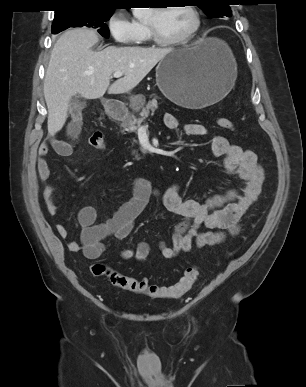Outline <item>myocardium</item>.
<instances>
[{
	"label": "myocardium",
	"instance_id": "myocardium-1",
	"mask_svg": "<svg viewBox=\"0 0 306 387\" xmlns=\"http://www.w3.org/2000/svg\"><path fill=\"white\" fill-rule=\"evenodd\" d=\"M183 7H185L192 14L193 20H194L193 26L188 31V33L179 39L167 40V39H164L160 36L154 23L152 21L148 20L146 22V27H147L148 34H149V39L153 43H155L158 46H162V47L180 46V45H184V44L189 43L196 36V34L198 33V31L201 27V15H200L198 9L194 5L186 4ZM166 8H168V7L162 6V7L155 8L154 10L155 11H162V10H165Z\"/></svg>",
	"mask_w": 306,
	"mask_h": 387
}]
</instances>
